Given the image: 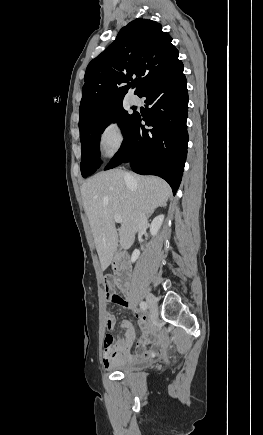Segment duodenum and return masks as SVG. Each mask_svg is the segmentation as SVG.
Segmentation results:
<instances>
[{"mask_svg": "<svg viewBox=\"0 0 263 435\" xmlns=\"http://www.w3.org/2000/svg\"><path fill=\"white\" fill-rule=\"evenodd\" d=\"M115 268L120 288H122L124 291H128L129 265L128 257L125 253L120 252L116 254Z\"/></svg>", "mask_w": 263, "mask_h": 435, "instance_id": "1", "label": "duodenum"}]
</instances>
